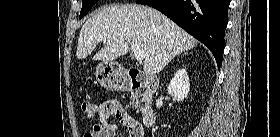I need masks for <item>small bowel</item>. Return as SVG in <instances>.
Segmentation results:
<instances>
[{"label":"small bowel","mask_w":280,"mask_h":137,"mask_svg":"<svg viewBox=\"0 0 280 137\" xmlns=\"http://www.w3.org/2000/svg\"><path fill=\"white\" fill-rule=\"evenodd\" d=\"M114 117L122 126L128 130L130 137L131 127H137L142 130L136 120L124 111L121 104L114 99H110L101 104L99 110V123L95 124L84 137H116L118 127L111 121Z\"/></svg>","instance_id":"small-bowel-1"}]
</instances>
